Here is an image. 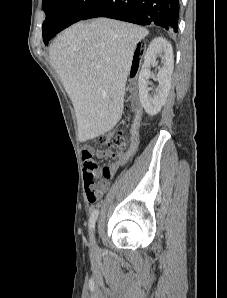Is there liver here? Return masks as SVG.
I'll list each match as a JSON object with an SVG mask.
<instances>
[{
    "instance_id": "6515ba94",
    "label": "liver",
    "mask_w": 227,
    "mask_h": 298,
    "mask_svg": "<svg viewBox=\"0 0 227 298\" xmlns=\"http://www.w3.org/2000/svg\"><path fill=\"white\" fill-rule=\"evenodd\" d=\"M147 34L130 23L97 18L70 26L52 44L49 58L74 106L80 142L119 122L133 54Z\"/></svg>"
}]
</instances>
